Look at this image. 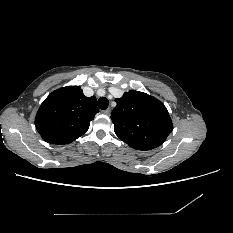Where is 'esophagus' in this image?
<instances>
[{"instance_id": "1", "label": "esophagus", "mask_w": 233, "mask_h": 233, "mask_svg": "<svg viewBox=\"0 0 233 233\" xmlns=\"http://www.w3.org/2000/svg\"><path fill=\"white\" fill-rule=\"evenodd\" d=\"M102 112H103V114H105V115H110L111 110L108 108V109H106V110H104V111H102Z\"/></svg>"}]
</instances>
